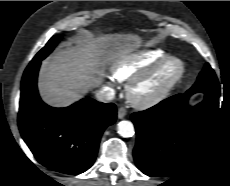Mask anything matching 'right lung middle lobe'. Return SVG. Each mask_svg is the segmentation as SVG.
<instances>
[{"mask_svg": "<svg viewBox=\"0 0 230 186\" xmlns=\"http://www.w3.org/2000/svg\"><path fill=\"white\" fill-rule=\"evenodd\" d=\"M61 39V36H53L48 43L36 54V56L33 58V60L30 63H37L42 61L45 57H47L54 47L57 45L59 40Z\"/></svg>", "mask_w": 230, "mask_h": 186, "instance_id": "right-lung-middle-lobe-1", "label": "right lung middle lobe"}]
</instances>
